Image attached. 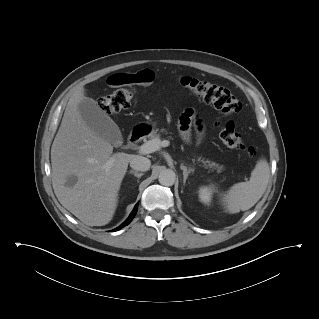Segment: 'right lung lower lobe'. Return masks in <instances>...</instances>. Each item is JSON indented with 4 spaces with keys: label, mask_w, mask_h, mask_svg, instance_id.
<instances>
[{
    "label": "right lung lower lobe",
    "mask_w": 319,
    "mask_h": 319,
    "mask_svg": "<svg viewBox=\"0 0 319 319\" xmlns=\"http://www.w3.org/2000/svg\"><path fill=\"white\" fill-rule=\"evenodd\" d=\"M137 208H138V205H136L134 207V210L132 211V213L130 214V216L128 217V219L119 227H117L116 229H114V231H117V230H120L121 228H123L124 226L128 225L132 219L135 217L136 213H137Z\"/></svg>",
    "instance_id": "right-lung-lower-lobe-1"
}]
</instances>
